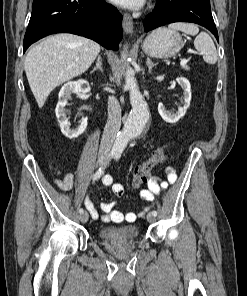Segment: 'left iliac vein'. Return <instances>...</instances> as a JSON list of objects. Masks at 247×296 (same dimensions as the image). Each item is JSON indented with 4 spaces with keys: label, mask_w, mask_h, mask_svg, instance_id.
<instances>
[{
    "label": "left iliac vein",
    "mask_w": 247,
    "mask_h": 296,
    "mask_svg": "<svg viewBox=\"0 0 247 296\" xmlns=\"http://www.w3.org/2000/svg\"><path fill=\"white\" fill-rule=\"evenodd\" d=\"M147 221L151 222V223L155 222L156 221V216L153 213H148L147 214Z\"/></svg>",
    "instance_id": "left-iliac-vein-1"
}]
</instances>
